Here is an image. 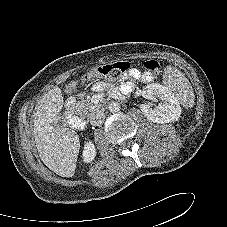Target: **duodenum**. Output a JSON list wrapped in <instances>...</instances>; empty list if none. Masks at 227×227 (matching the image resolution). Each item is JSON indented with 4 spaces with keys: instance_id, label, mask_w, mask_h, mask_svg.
Instances as JSON below:
<instances>
[{
    "instance_id": "410a0bca",
    "label": "duodenum",
    "mask_w": 227,
    "mask_h": 227,
    "mask_svg": "<svg viewBox=\"0 0 227 227\" xmlns=\"http://www.w3.org/2000/svg\"><path fill=\"white\" fill-rule=\"evenodd\" d=\"M65 115L71 126L76 130H84L87 126L86 121L79 117L75 112V106L70 104L65 110Z\"/></svg>"
}]
</instances>
